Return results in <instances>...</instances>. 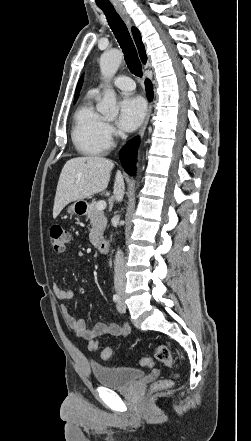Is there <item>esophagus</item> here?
Wrapping results in <instances>:
<instances>
[{
	"mask_svg": "<svg viewBox=\"0 0 251 441\" xmlns=\"http://www.w3.org/2000/svg\"><path fill=\"white\" fill-rule=\"evenodd\" d=\"M118 11H119L120 15L123 17V19L126 21V23L128 25H131L130 19H129L128 15L126 14V12L122 8H119ZM151 111H152V105L150 104L149 108H148V112H147L146 118L144 120V123H143V125H142V127H141V129H140V131L138 133L139 137H142L144 132H145V130H146V127H147V124H148V121H149V118H150V115H151Z\"/></svg>",
	"mask_w": 251,
	"mask_h": 441,
	"instance_id": "esophagus-1",
	"label": "esophagus"
}]
</instances>
